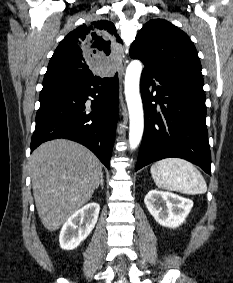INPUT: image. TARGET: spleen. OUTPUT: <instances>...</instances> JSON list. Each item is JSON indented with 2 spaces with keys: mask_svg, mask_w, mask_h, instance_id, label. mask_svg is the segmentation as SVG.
Instances as JSON below:
<instances>
[{
  "mask_svg": "<svg viewBox=\"0 0 233 283\" xmlns=\"http://www.w3.org/2000/svg\"><path fill=\"white\" fill-rule=\"evenodd\" d=\"M150 172L159 188L188 195L204 194L207 191V184L202 174L186 160L163 159L154 163Z\"/></svg>",
  "mask_w": 233,
  "mask_h": 283,
  "instance_id": "spleen-1",
  "label": "spleen"
}]
</instances>
